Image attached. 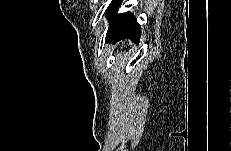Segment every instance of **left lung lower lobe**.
<instances>
[{
	"label": "left lung lower lobe",
	"mask_w": 231,
	"mask_h": 151,
	"mask_svg": "<svg viewBox=\"0 0 231 151\" xmlns=\"http://www.w3.org/2000/svg\"><path fill=\"white\" fill-rule=\"evenodd\" d=\"M120 4L121 0H113L105 11L110 21L105 41L115 43L122 39H130L138 43L141 37V26L130 12L116 15Z\"/></svg>",
	"instance_id": "obj_1"
}]
</instances>
